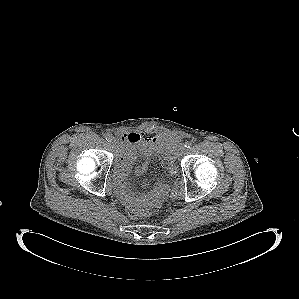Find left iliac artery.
I'll return each instance as SVG.
<instances>
[{
	"instance_id": "44dca946",
	"label": "left iliac artery",
	"mask_w": 299,
	"mask_h": 299,
	"mask_svg": "<svg viewBox=\"0 0 299 299\" xmlns=\"http://www.w3.org/2000/svg\"><path fill=\"white\" fill-rule=\"evenodd\" d=\"M186 148H190L192 146V143L190 141L186 142L184 145Z\"/></svg>"
}]
</instances>
